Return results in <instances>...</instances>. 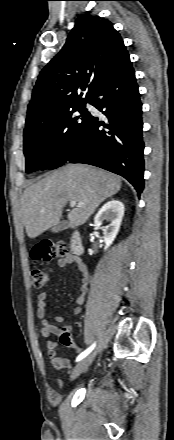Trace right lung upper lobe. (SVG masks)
<instances>
[{
  "instance_id": "right-lung-upper-lobe-1",
  "label": "right lung upper lobe",
  "mask_w": 174,
  "mask_h": 440,
  "mask_svg": "<svg viewBox=\"0 0 174 440\" xmlns=\"http://www.w3.org/2000/svg\"><path fill=\"white\" fill-rule=\"evenodd\" d=\"M129 60L123 40L110 21L79 16L63 48L39 74L24 131L89 100L102 81Z\"/></svg>"
}]
</instances>
